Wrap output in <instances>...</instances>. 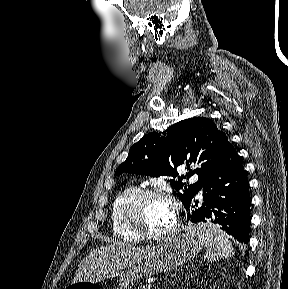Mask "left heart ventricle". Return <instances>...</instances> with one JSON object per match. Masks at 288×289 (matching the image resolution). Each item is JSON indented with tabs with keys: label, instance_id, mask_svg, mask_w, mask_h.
<instances>
[{
	"label": "left heart ventricle",
	"instance_id": "obj_1",
	"mask_svg": "<svg viewBox=\"0 0 288 289\" xmlns=\"http://www.w3.org/2000/svg\"><path fill=\"white\" fill-rule=\"evenodd\" d=\"M139 217L143 228L151 232H160L172 225L174 211L168 201L149 198L142 203Z\"/></svg>",
	"mask_w": 288,
	"mask_h": 289
}]
</instances>
